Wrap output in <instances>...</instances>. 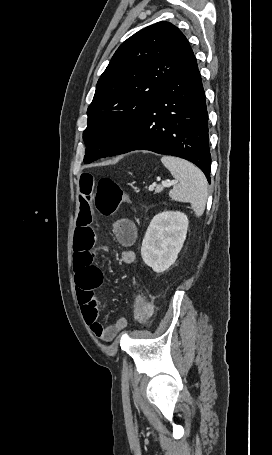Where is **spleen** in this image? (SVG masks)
Masks as SVG:
<instances>
[{"label":"spleen","mask_w":272,"mask_h":455,"mask_svg":"<svg viewBox=\"0 0 272 455\" xmlns=\"http://www.w3.org/2000/svg\"><path fill=\"white\" fill-rule=\"evenodd\" d=\"M161 161L178 182L170 190V198L174 201L189 202L195 215L201 216L208 196L205 175L192 163L177 157L163 156Z\"/></svg>","instance_id":"1"}]
</instances>
